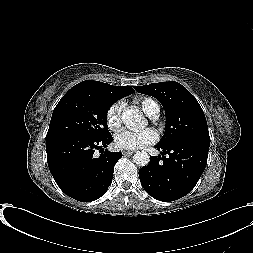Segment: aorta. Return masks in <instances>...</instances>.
Here are the masks:
<instances>
[{"label": "aorta", "mask_w": 253, "mask_h": 253, "mask_svg": "<svg viewBox=\"0 0 253 253\" xmlns=\"http://www.w3.org/2000/svg\"><path fill=\"white\" fill-rule=\"evenodd\" d=\"M123 124L132 130H138L146 125V120L142 114L135 109H126L122 113ZM133 161L138 166H146L150 162V156L145 151H137L133 156Z\"/></svg>", "instance_id": "1"}]
</instances>
